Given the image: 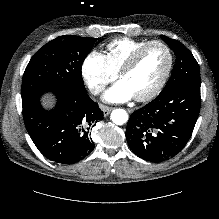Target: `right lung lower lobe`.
Listing matches in <instances>:
<instances>
[{"mask_svg":"<svg viewBox=\"0 0 219 219\" xmlns=\"http://www.w3.org/2000/svg\"><path fill=\"white\" fill-rule=\"evenodd\" d=\"M56 106L41 107L43 93L22 98L26 129L38 150L48 159L71 164L85 158L94 149L89 132L103 119V112L86 93L70 88L52 90Z\"/></svg>","mask_w":219,"mask_h":219,"instance_id":"1","label":"right lung lower lobe"}]
</instances>
